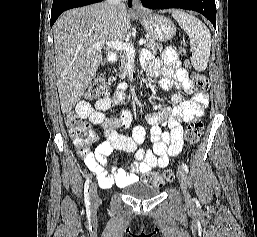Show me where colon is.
<instances>
[{
    "label": "colon",
    "instance_id": "colon-1",
    "mask_svg": "<svg viewBox=\"0 0 257 237\" xmlns=\"http://www.w3.org/2000/svg\"><path fill=\"white\" fill-rule=\"evenodd\" d=\"M184 53V50H181ZM192 87L198 92H204L209 89V80L207 76L201 73H194L192 75ZM108 92V86L102 77H96L90 83L86 91V99L89 101H100L105 98ZM64 121L69 130V135L74 140L81 144H86L90 137L88 133V124L81 119V117L74 113L68 112L65 114ZM204 130L203 122L199 118H195L189 122L185 131V140L189 145L198 143ZM174 178L173 171H165L163 173L150 172L147 173L143 181L144 183L163 187L167 182Z\"/></svg>",
    "mask_w": 257,
    "mask_h": 237
}]
</instances>
